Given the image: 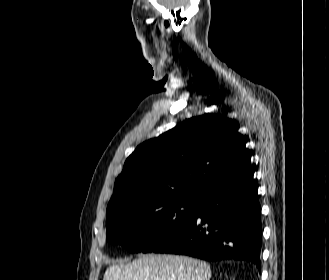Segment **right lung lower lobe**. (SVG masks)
I'll list each match as a JSON object with an SVG mask.
<instances>
[{"label":"right lung lower lobe","instance_id":"right-lung-lower-lobe-1","mask_svg":"<svg viewBox=\"0 0 329 280\" xmlns=\"http://www.w3.org/2000/svg\"><path fill=\"white\" fill-rule=\"evenodd\" d=\"M254 172L249 160L213 182L189 221L153 252L246 260L260 268L261 208Z\"/></svg>","mask_w":329,"mask_h":280}]
</instances>
